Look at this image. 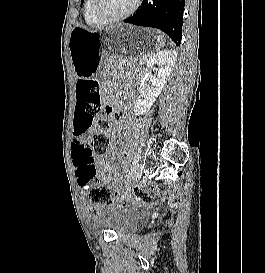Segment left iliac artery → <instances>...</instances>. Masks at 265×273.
<instances>
[{
    "label": "left iliac artery",
    "instance_id": "1",
    "mask_svg": "<svg viewBox=\"0 0 265 273\" xmlns=\"http://www.w3.org/2000/svg\"><path fill=\"white\" fill-rule=\"evenodd\" d=\"M139 158H140V151H138L137 154H136V156H135L133 165L131 166V169H130V173L127 176V181L129 180L130 176L132 175V173H133V171L135 169L136 163L139 161Z\"/></svg>",
    "mask_w": 265,
    "mask_h": 273
}]
</instances>
